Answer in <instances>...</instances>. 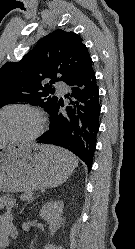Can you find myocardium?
Returning <instances> with one entry per match:
<instances>
[{
	"instance_id": "myocardium-1",
	"label": "myocardium",
	"mask_w": 135,
	"mask_h": 249,
	"mask_svg": "<svg viewBox=\"0 0 135 249\" xmlns=\"http://www.w3.org/2000/svg\"><path fill=\"white\" fill-rule=\"evenodd\" d=\"M12 109H20V110H25L29 113H31L35 119H36V124L37 127L35 131L24 137H14V138H8V139H2L0 140V144H7V143H30L35 140H37L43 133L45 129V118L43 113L35 106L27 104V103H10L7 105H4L3 107L0 108V114L12 110Z\"/></svg>"
}]
</instances>
